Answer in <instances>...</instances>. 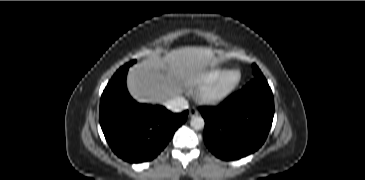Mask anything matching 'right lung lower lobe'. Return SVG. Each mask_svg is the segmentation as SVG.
<instances>
[{
  "label": "right lung lower lobe",
  "instance_id": "1",
  "mask_svg": "<svg viewBox=\"0 0 365 180\" xmlns=\"http://www.w3.org/2000/svg\"><path fill=\"white\" fill-rule=\"evenodd\" d=\"M128 68L121 67L103 91L99 121L113 152L125 161L140 163L166 147L188 111L174 114L163 106L137 103L126 88Z\"/></svg>",
  "mask_w": 365,
  "mask_h": 180
}]
</instances>
